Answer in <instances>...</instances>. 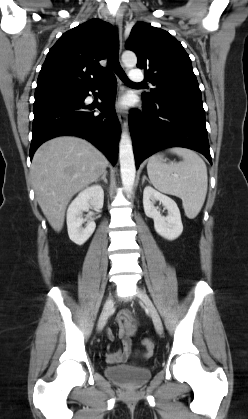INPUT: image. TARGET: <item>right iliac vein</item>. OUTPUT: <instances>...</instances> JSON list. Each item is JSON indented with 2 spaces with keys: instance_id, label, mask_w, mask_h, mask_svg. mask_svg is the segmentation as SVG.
<instances>
[{
  "instance_id": "obj_1",
  "label": "right iliac vein",
  "mask_w": 248,
  "mask_h": 419,
  "mask_svg": "<svg viewBox=\"0 0 248 419\" xmlns=\"http://www.w3.org/2000/svg\"><path fill=\"white\" fill-rule=\"evenodd\" d=\"M112 307H113V298L108 297V299L106 300L104 304L103 311L98 321V325H97L98 331H102V329L104 328L106 321L108 319V316L112 310Z\"/></svg>"
}]
</instances>
